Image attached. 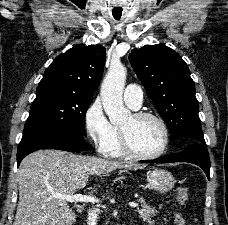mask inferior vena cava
<instances>
[{
    "mask_svg": "<svg viewBox=\"0 0 228 225\" xmlns=\"http://www.w3.org/2000/svg\"><path fill=\"white\" fill-rule=\"evenodd\" d=\"M99 211H88L87 225H98Z\"/></svg>",
    "mask_w": 228,
    "mask_h": 225,
    "instance_id": "obj_1",
    "label": "inferior vena cava"
}]
</instances>
